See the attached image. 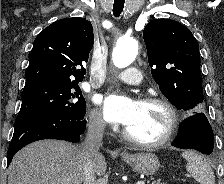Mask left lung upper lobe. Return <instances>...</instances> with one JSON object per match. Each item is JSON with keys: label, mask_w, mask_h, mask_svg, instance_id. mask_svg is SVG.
<instances>
[{"label": "left lung upper lobe", "mask_w": 224, "mask_h": 184, "mask_svg": "<svg viewBox=\"0 0 224 184\" xmlns=\"http://www.w3.org/2000/svg\"><path fill=\"white\" fill-rule=\"evenodd\" d=\"M151 74L160 91L189 114L203 107L198 43L191 31L169 19H154L143 31Z\"/></svg>", "instance_id": "5c2ea615"}]
</instances>
